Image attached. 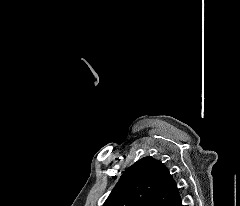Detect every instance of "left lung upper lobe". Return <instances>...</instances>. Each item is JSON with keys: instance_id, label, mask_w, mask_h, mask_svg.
Returning a JSON list of instances; mask_svg holds the SVG:
<instances>
[{"instance_id": "obj_1", "label": "left lung upper lobe", "mask_w": 240, "mask_h": 206, "mask_svg": "<svg viewBox=\"0 0 240 206\" xmlns=\"http://www.w3.org/2000/svg\"><path fill=\"white\" fill-rule=\"evenodd\" d=\"M178 195L167 167L144 157L122 174L103 206H171Z\"/></svg>"}]
</instances>
